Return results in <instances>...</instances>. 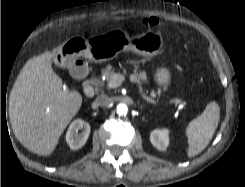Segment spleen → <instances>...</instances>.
I'll return each instance as SVG.
<instances>
[{"mask_svg": "<svg viewBox=\"0 0 245 187\" xmlns=\"http://www.w3.org/2000/svg\"><path fill=\"white\" fill-rule=\"evenodd\" d=\"M220 119V107L212 101L203 113L193 119L186 128L188 138L187 156L194 157L201 153L212 139Z\"/></svg>", "mask_w": 245, "mask_h": 187, "instance_id": "1", "label": "spleen"}]
</instances>
